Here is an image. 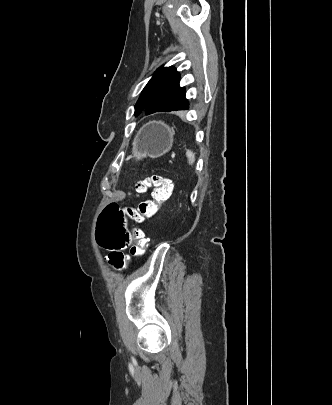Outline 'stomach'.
Segmentation results:
<instances>
[{"label": "stomach", "mask_w": 332, "mask_h": 405, "mask_svg": "<svg viewBox=\"0 0 332 405\" xmlns=\"http://www.w3.org/2000/svg\"><path fill=\"white\" fill-rule=\"evenodd\" d=\"M173 133L161 122H150L138 132L133 154L137 160L144 157L158 158L171 150Z\"/></svg>", "instance_id": "obj_1"}]
</instances>
